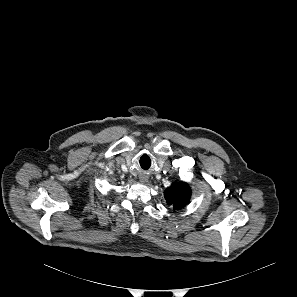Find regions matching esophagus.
Wrapping results in <instances>:
<instances>
[{
    "label": "esophagus",
    "instance_id": "obj_1",
    "mask_svg": "<svg viewBox=\"0 0 297 297\" xmlns=\"http://www.w3.org/2000/svg\"><path fill=\"white\" fill-rule=\"evenodd\" d=\"M147 181V177L146 176H141L140 177V182L145 183Z\"/></svg>",
    "mask_w": 297,
    "mask_h": 297
}]
</instances>
